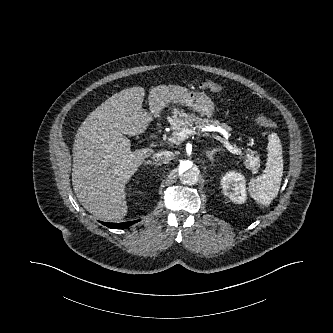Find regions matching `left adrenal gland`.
<instances>
[{
	"mask_svg": "<svg viewBox=\"0 0 333 333\" xmlns=\"http://www.w3.org/2000/svg\"><path fill=\"white\" fill-rule=\"evenodd\" d=\"M217 151H219V149H213L212 151L207 152V157L210 159L212 163L214 161V155Z\"/></svg>",
	"mask_w": 333,
	"mask_h": 333,
	"instance_id": "a2214340",
	"label": "left adrenal gland"
}]
</instances>
